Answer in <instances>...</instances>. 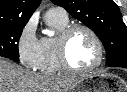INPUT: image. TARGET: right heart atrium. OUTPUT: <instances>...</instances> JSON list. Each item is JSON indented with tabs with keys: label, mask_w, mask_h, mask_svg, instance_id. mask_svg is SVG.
Instances as JSON below:
<instances>
[{
	"label": "right heart atrium",
	"mask_w": 127,
	"mask_h": 92,
	"mask_svg": "<svg viewBox=\"0 0 127 92\" xmlns=\"http://www.w3.org/2000/svg\"><path fill=\"white\" fill-rule=\"evenodd\" d=\"M16 51L20 64L27 69H37L40 59V44L33 23H27L21 30Z\"/></svg>",
	"instance_id": "d8ad5b80"
}]
</instances>
